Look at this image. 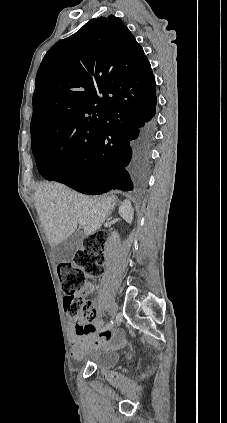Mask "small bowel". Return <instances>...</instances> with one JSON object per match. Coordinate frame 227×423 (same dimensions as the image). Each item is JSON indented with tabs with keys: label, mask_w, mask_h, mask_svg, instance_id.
I'll return each mask as SVG.
<instances>
[{
	"label": "small bowel",
	"mask_w": 227,
	"mask_h": 423,
	"mask_svg": "<svg viewBox=\"0 0 227 423\" xmlns=\"http://www.w3.org/2000/svg\"><path fill=\"white\" fill-rule=\"evenodd\" d=\"M91 291V286H87L82 294ZM101 322L96 317L90 322H75L70 333V354L73 357H80L85 351L102 347H120L124 344L123 333L119 329L102 330ZM79 328V330H77ZM99 330V331H98ZM96 331L98 334L95 335Z\"/></svg>",
	"instance_id": "1"
}]
</instances>
